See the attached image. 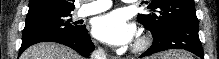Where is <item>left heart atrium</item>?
Masks as SVG:
<instances>
[{
  "instance_id": "obj_1",
  "label": "left heart atrium",
  "mask_w": 219,
  "mask_h": 59,
  "mask_svg": "<svg viewBox=\"0 0 219 59\" xmlns=\"http://www.w3.org/2000/svg\"><path fill=\"white\" fill-rule=\"evenodd\" d=\"M92 31L93 35L103 42L121 45L133 38L135 29L126 21L122 13L113 11L97 17Z\"/></svg>"
}]
</instances>
